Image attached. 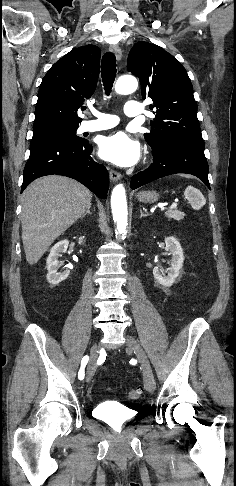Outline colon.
<instances>
[{
    "mask_svg": "<svg viewBox=\"0 0 236 486\" xmlns=\"http://www.w3.org/2000/svg\"><path fill=\"white\" fill-rule=\"evenodd\" d=\"M142 394V389L140 387L132 388L128 392V397L132 400L138 399Z\"/></svg>",
    "mask_w": 236,
    "mask_h": 486,
    "instance_id": "colon-1",
    "label": "colon"
}]
</instances>
